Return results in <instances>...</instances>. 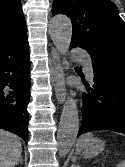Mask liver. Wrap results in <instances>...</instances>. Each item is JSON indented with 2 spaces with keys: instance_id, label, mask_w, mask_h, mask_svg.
<instances>
[{
  "instance_id": "obj_1",
  "label": "liver",
  "mask_w": 125,
  "mask_h": 167,
  "mask_svg": "<svg viewBox=\"0 0 125 167\" xmlns=\"http://www.w3.org/2000/svg\"><path fill=\"white\" fill-rule=\"evenodd\" d=\"M21 139L0 129V167H14L21 156Z\"/></svg>"
}]
</instances>
